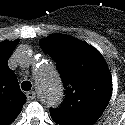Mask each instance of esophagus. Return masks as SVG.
Wrapping results in <instances>:
<instances>
[{
	"label": "esophagus",
	"instance_id": "obj_1",
	"mask_svg": "<svg viewBox=\"0 0 125 125\" xmlns=\"http://www.w3.org/2000/svg\"><path fill=\"white\" fill-rule=\"evenodd\" d=\"M26 96H27L28 100H33L36 97V93L34 91H30V92L26 93Z\"/></svg>",
	"mask_w": 125,
	"mask_h": 125
}]
</instances>
